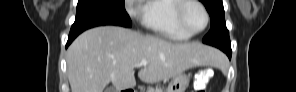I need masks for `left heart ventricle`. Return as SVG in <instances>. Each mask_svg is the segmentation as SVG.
<instances>
[{"label": "left heart ventricle", "instance_id": "left-heart-ventricle-1", "mask_svg": "<svg viewBox=\"0 0 296 92\" xmlns=\"http://www.w3.org/2000/svg\"><path fill=\"white\" fill-rule=\"evenodd\" d=\"M184 21L191 31H199L205 24V16L202 9L195 4L188 5L184 11Z\"/></svg>", "mask_w": 296, "mask_h": 92}]
</instances>
